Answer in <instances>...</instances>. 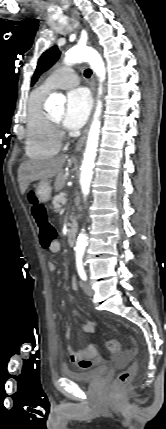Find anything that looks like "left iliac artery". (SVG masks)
<instances>
[{
    "label": "left iliac artery",
    "mask_w": 166,
    "mask_h": 429,
    "mask_svg": "<svg viewBox=\"0 0 166 429\" xmlns=\"http://www.w3.org/2000/svg\"><path fill=\"white\" fill-rule=\"evenodd\" d=\"M76 267H77V271H78L80 278L83 281H86L87 275H86V272H85L84 267H83V261H82L81 255H76Z\"/></svg>",
    "instance_id": "1"
}]
</instances>
